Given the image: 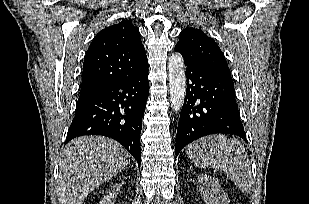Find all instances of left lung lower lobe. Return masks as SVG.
Returning <instances> with one entry per match:
<instances>
[{
  "instance_id": "0a47b994",
  "label": "left lung lower lobe",
  "mask_w": 309,
  "mask_h": 204,
  "mask_svg": "<svg viewBox=\"0 0 309 204\" xmlns=\"http://www.w3.org/2000/svg\"><path fill=\"white\" fill-rule=\"evenodd\" d=\"M186 65L187 92L176 135L175 154L189 143L210 134H234L246 140L231 75L204 64Z\"/></svg>"
}]
</instances>
